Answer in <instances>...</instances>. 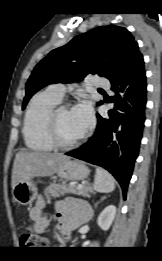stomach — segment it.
<instances>
[{"label": "stomach", "instance_id": "1", "mask_svg": "<svg viewBox=\"0 0 162 261\" xmlns=\"http://www.w3.org/2000/svg\"><path fill=\"white\" fill-rule=\"evenodd\" d=\"M87 166L78 161L66 160L57 170L58 177L65 180H83L89 175ZM13 198L22 205L32 203L37 197V188L34 182L29 179L19 182L13 188Z\"/></svg>", "mask_w": 162, "mask_h": 261}]
</instances>
